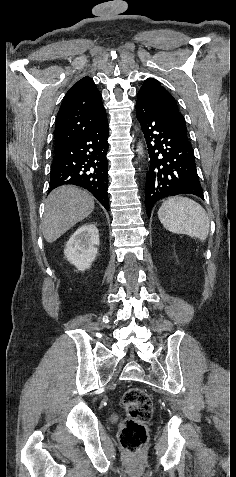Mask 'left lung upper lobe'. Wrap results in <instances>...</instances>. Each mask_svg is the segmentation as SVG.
Here are the masks:
<instances>
[{"label":"left lung upper lobe","mask_w":236,"mask_h":477,"mask_svg":"<svg viewBox=\"0 0 236 477\" xmlns=\"http://www.w3.org/2000/svg\"><path fill=\"white\" fill-rule=\"evenodd\" d=\"M138 95L142 96L170 125L187 138L186 123L174 97L157 80L153 78L145 80Z\"/></svg>","instance_id":"left-lung-upper-lobe-1"}]
</instances>
